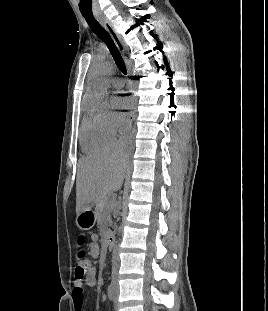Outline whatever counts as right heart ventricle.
Returning <instances> with one entry per match:
<instances>
[{
  "instance_id": "obj_1",
  "label": "right heart ventricle",
  "mask_w": 268,
  "mask_h": 311,
  "mask_svg": "<svg viewBox=\"0 0 268 311\" xmlns=\"http://www.w3.org/2000/svg\"><path fill=\"white\" fill-rule=\"evenodd\" d=\"M114 138L93 111L85 115L80 128V143L85 152L101 150L110 145Z\"/></svg>"
}]
</instances>
